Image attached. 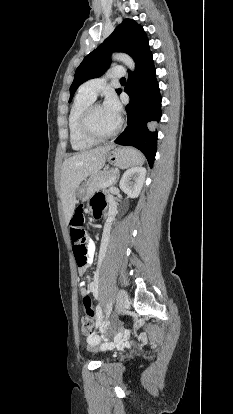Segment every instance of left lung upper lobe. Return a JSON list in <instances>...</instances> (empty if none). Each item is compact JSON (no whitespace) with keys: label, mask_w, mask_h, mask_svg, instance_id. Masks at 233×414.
<instances>
[{"label":"left lung upper lobe","mask_w":233,"mask_h":414,"mask_svg":"<svg viewBox=\"0 0 233 414\" xmlns=\"http://www.w3.org/2000/svg\"><path fill=\"white\" fill-rule=\"evenodd\" d=\"M112 52L129 54L136 67L150 54L149 42L143 28L132 19H125L114 32L94 51L89 53L78 66L70 87L71 102L77 88L88 79L101 76L110 65ZM117 92L120 89L116 90Z\"/></svg>","instance_id":"5c2ea615"}]
</instances>
